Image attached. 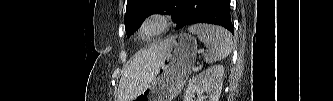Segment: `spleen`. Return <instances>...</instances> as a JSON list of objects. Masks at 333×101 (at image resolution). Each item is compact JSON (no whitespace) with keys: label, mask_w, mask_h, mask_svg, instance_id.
<instances>
[{"label":"spleen","mask_w":333,"mask_h":101,"mask_svg":"<svg viewBox=\"0 0 333 101\" xmlns=\"http://www.w3.org/2000/svg\"><path fill=\"white\" fill-rule=\"evenodd\" d=\"M188 30L190 33L197 35L198 39L208 48V53L204 58L206 63H214L226 58L231 53L233 47L232 36L223 27L196 24L190 26Z\"/></svg>","instance_id":"3e777b00"}]
</instances>
